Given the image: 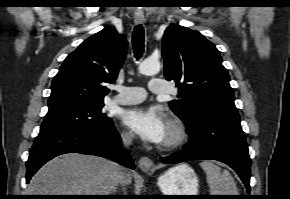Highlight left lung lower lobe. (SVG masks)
<instances>
[{
    "mask_svg": "<svg viewBox=\"0 0 290 199\" xmlns=\"http://www.w3.org/2000/svg\"><path fill=\"white\" fill-rule=\"evenodd\" d=\"M189 143L174 155L160 158L174 164L191 160H218L233 168L250 192L251 159L240 122L199 115L185 123Z\"/></svg>",
    "mask_w": 290,
    "mask_h": 199,
    "instance_id": "left-lung-lower-lobe-1",
    "label": "left lung lower lobe"
}]
</instances>
